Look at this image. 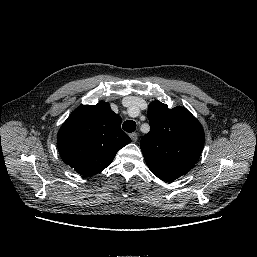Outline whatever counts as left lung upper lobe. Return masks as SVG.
Listing matches in <instances>:
<instances>
[{
	"label": "left lung upper lobe",
	"mask_w": 257,
	"mask_h": 257,
	"mask_svg": "<svg viewBox=\"0 0 257 257\" xmlns=\"http://www.w3.org/2000/svg\"><path fill=\"white\" fill-rule=\"evenodd\" d=\"M147 117L150 131L140 147L150 170L175 179L189 172L204 146L200 122L186 108L169 109L158 101L149 104Z\"/></svg>",
	"instance_id": "1"
}]
</instances>
